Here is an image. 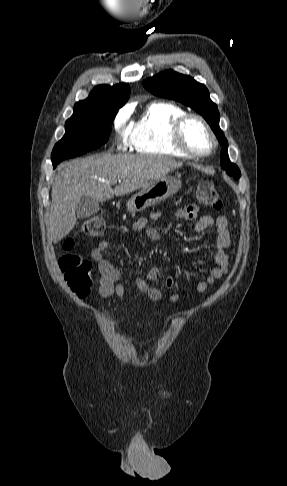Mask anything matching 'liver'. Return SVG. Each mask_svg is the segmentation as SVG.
Masks as SVG:
<instances>
[{
  "instance_id": "liver-1",
  "label": "liver",
  "mask_w": 287,
  "mask_h": 486,
  "mask_svg": "<svg viewBox=\"0 0 287 486\" xmlns=\"http://www.w3.org/2000/svg\"><path fill=\"white\" fill-rule=\"evenodd\" d=\"M172 158L100 154L62 165L52 184L48 235L58 243L74 228L77 203L87 196L98 202L146 187L182 167ZM120 184L112 189V184Z\"/></svg>"
}]
</instances>
